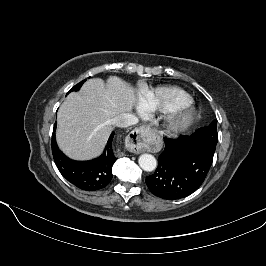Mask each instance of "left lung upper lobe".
<instances>
[{"instance_id":"1","label":"left lung upper lobe","mask_w":266,"mask_h":266,"mask_svg":"<svg viewBox=\"0 0 266 266\" xmlns=\"http://www.w3.org/2000/svg\"><path fill=\"white\" fill-rule=\"evenodd\" d=\"M217 120L209 126L202 127L194 133V141L204 147L210 154L214 155L218 142Z\"/></svg>"}]
</instances>
